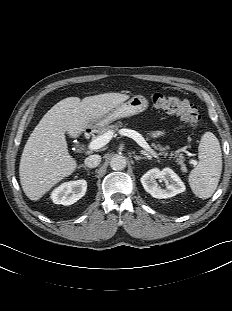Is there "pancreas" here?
<instances>
[{"mask_svg":"<svg viewBox=\"0 0 232 311\" xmlns=\"http://www.w3.org/2000/svg\"><path fill=\"white\" fill-rule=\"evenodd\" d=\"M119 127H122V122L118 121L117 123L113 124V125H109V126H106L105 128L101 129L99 131V134L103 135L104 133H107L108 131H111L113 133L117 132ZM152 146L156 149V150H159L160 151V155H163L164 157L168 156V153H167V147H163L161 146L160 144H155L153 143ZM174 154H171V156H173ZM176 158V161L183 165V161H184V157L182 156V154H176L175 155Z\"/></svg>","mask_w":232,"mask_h":311,"instance_id":"cf45deb5","label":"pancreas"}]
</instances>
